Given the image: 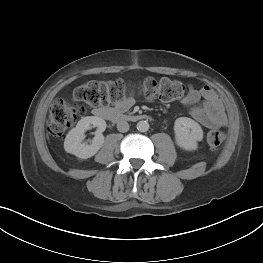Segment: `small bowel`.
Masks as SVG:
<instances>
[{"label": "small bowel", "instance_id": "obj_1", "mask_svg": "<svg viewBox=\"0 0 263 263\" xmlns=\"http://www.w3.org/2000/svg\"><path fill=\"white\" fill-rule=\"evenodd\" d=\"M133 104L134 98L126 97L117 104V109L126 111ZM183 104L189 108L191 116L207 128L221 127L227 122L222 102L209 86L191 90L189 95L183 99Z\"/></svg>", "mask_w": 263, "mask_h": 263}]
</instances>
